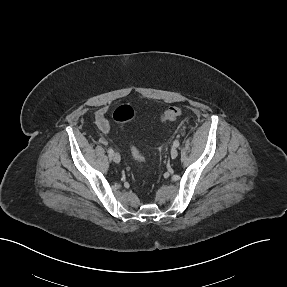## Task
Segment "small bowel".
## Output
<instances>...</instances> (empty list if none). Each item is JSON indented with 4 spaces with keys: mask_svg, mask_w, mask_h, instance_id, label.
<instances>
[{
    "mask_svg": "<svg viewBox=\"0 0 287 287\" xmlns=\"http://www.w3.org/2000/svg\"><path fill=\"white\" fill-rule=\"evenodd\" d=\"M109 109L107 107L101 108L95 113L96 125L101 132L108 134L111 131V124L107 118Z\"/></svg>",
    "mask_w": 287,
    "mask_h": 287,
    "instance_id": "1",
    "label": "small bowel"
}]
</instances>
